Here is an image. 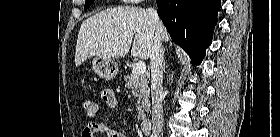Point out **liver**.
Masks as SVG:
<instances>
[{"label":"liver","instance_id":"6515ba94","mask_svg":"<svg viewBox=\"0 0 280 137\" xmlns=\"http://www.w3.org/2000/svg\"><path fill=\"white\" fill-rule=\"evenodd\" d=\"M154 22L147 10L138 7H115L86 19L80 27L76 43L75 65L87 58L125 57L132 44L131 55L148 59L154 37ZM161 42L169 41L165 27L159 28Z\"/></svg>","mask_w":280,"mask_h":137}]
</instances>
